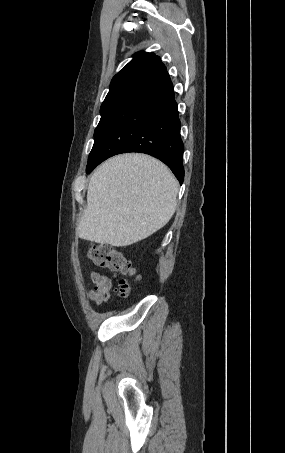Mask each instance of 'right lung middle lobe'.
Masks as SVG:
<instances>
[{
	"label": "right lung middle lobe",
	"instance_id": "1",
	"mask_svg": "<svg viewBox=\"0 0 285 453\" xmlns=\"http://www.w3.org/2000/svg\"><path fill=\"white\" fill-rule=\"evenodd\" d=\"M128 98L129 96H123L102 103L100 108L101 119L94 132V145L88 157V164L93 159L98 147L100 146L104 134L111 125L117 112L120 110V108Z\"/></svg>",
	"mask_w": 285,
	"mask_h": 453
}]
</instances>
